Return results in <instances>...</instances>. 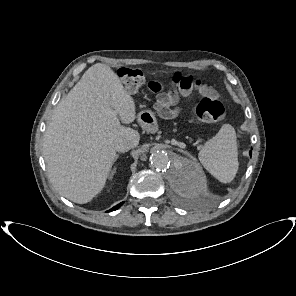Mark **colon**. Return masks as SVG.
Listing matches in <instances>:
<instances>
[{
	"label": "colon",
	"instance_id": "colon-1",
	"mask_svg": "<svg viewBox=\"0 0 296 296\" xmlns=\"http://www.w3.org/2000/svg\"><path fill=\"white\" fill-rule=\"evenodd\" d=\"M119 76L129 90H137L145 83V73L140 69L121 68ZM172 81L181 92H189L197 89L207 94L210 86L201 78L192 75H183L179 72L172 76ZM195 115L201 123H212L220 120L224 115L223 104L211 97L199 98L194 106Z\"/></svg>",
	"mask_w": 296,
	"mask_h": 296
}]
</instances>
